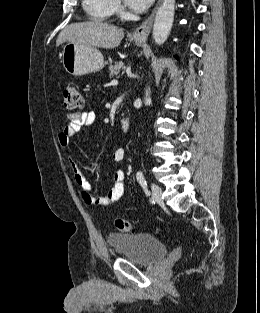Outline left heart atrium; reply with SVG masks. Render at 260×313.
<instances>
[{
  "mask_svg": "<svg viewBox=\"0 0 260 313\" xmlns=\"http://www.w3.org/2000/svg\"><path fill=\"white\" fill-rule=\"evenodd\" d=\"M154 0H125L126 4L135 12H143Z\"/></svg>",
  "mask_w": 260,
  "mask_h": 313,
  "instance_id": "left-heart-atrium-1",
  "label": "left heart atrium"
}]
</instances>
